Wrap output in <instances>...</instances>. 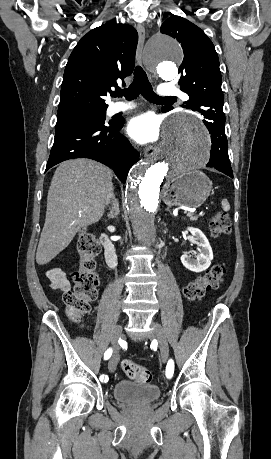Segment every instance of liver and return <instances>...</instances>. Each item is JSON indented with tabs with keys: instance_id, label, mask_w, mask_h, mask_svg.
I'll use <instances>...</instances> for the list:
<instances>
[{
	"instance_id": "liver-1",
	"label": "liver",
	"mask_w": 271,
	"mask_h": 459,
	"mask_svg": "<svg viewBox=\"0 0 271 459\" xmlns=\"http://www.w3.org/2000/svg\"><path fill=\"white\" fill-rule=\"evenodd\" d=\"M113 172L87 158L59 164L48 190L44 228L36 261H51L72 241L76 231L99 222L112 192Z\"/></svg>"
}]
</instances>
